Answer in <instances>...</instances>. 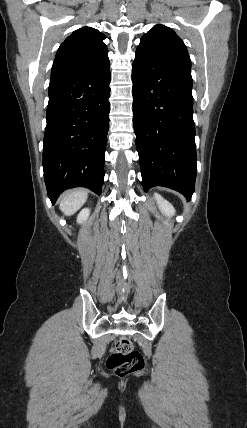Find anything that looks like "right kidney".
<instances>
[{
	"label": "right kidney",
	"instance_id": "obj_1",
	"mask_svg": "<svg viewBox=\"0 0 247 428\" xmlns=\"http://www.w3.org/2000/svg\"><path fill=\"white\" fill-rule=\"evenodd\" d=\"M89 215H90V209L88 208L83 209L77 216V222L79 224L84 223L88 219Z\"/></svg>",
	"mask_w": 247,
	"mask_h": 428
}]
</instances>
